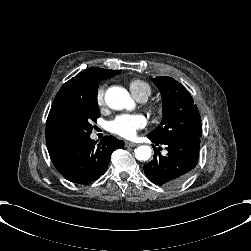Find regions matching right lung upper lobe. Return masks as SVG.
<instances>
[{
    "instance_id": "right-lung-upper-lobe-1",
    "label": "right lung upper lobe",
    "mask_w": 251,
    "mask_h": 251,
    "mask_svg": "<svg viewBox=\"0 0 251 251\" xmlns=\"http://www.w3.org/2000/svg\"><path fill=\"white\" fill-rule=\"evenodd\" d=\"M117 71L91 67L62 85L55 96L46 122V145L49 153L74 141L60 126L57 119V109L68 100L88 94L94 87L98 86L101 80L113 77Z\"/></svg>"
}]
</instances>
